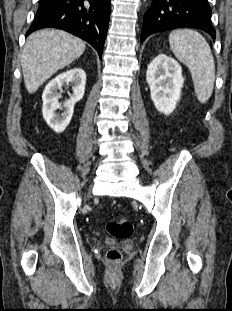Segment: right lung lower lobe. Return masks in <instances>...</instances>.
Masks as SVG:
<instances>
[{
  "label": "right lung lower lobe",
  "mask_w": 232,
  "mask_h": 311,
  "mask_svg": "<svg viewBox=\"0 0 232 311\" xmlns=\"http://www.w3.org/2000/svg\"><path fill=\"white\" fill-rule=\"evenodd\" d=\"M111 0H40L26 37L42 28H59L90 43L102 56Z\"/></svg>",
  "instance_id": "right-lung-lower-lobe-1"
}]
</instances>
